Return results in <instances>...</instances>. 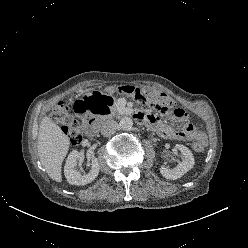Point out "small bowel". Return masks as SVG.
Here are the masks:
<instances>
[{
	"mask_svg": "<svg viewBox=\"0 0 248 248\" xmlns=\"http://www.w3.org/2000/svg\"><path fill=\"white\" fill-rule=\"evenodd\" d=\"M142 115L144 116V114ZM144 119L165 138L183 141H191L192 139L206 140L203 132L196 130L191 123L184 119H182L183 123L180 129L161 124L153 115L144 116Z\"/></svg>",
	"mask_w": 248,
	"mask_h": 248,
	"instance_id": "small-bowel-1",
	"label": "small bowel"
}]
</instances>
